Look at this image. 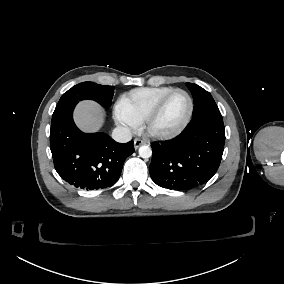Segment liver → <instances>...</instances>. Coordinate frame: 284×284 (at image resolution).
Masks as SVG:
<instances>
[{
    "label": "liver",
    "instance_id": "6515ba94",
    "mask_svg": "<svg viewBox=\"0 0 284 284\" xmlns=\"http://www.w3.org/2000/svg\"><path fill=\"white\" fill-rule=\"evenodd\" d=\"M74 119L83 131L96 132L103 123V110L94 101H82L75 109Z\"/></svg>",
    "mask_w": 284,
    "mask_h": 284
}]
</instances>
